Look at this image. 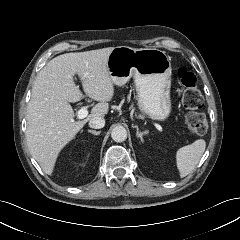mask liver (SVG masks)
Here are the masks:
<instances>
[{
	"label": "liver",
	"instance_id": "liver-1",
	"mask_svg": "<svg viewBox=\"0 0 240 240\" xmlns=\"http://www.w3.org/2000/svg\"><path fill=\"white\" fill-rule=\"evenodd\" d=\"M113 49L62 54L49 61L38 73L27 106L26 139L31 155L46 174L53 173L60 151L87 121L108 113L114 86L107 60ZM74 75L80 76L86 95L99 102L82 121L74 120L70 105V102L83 98L73 80Z\"/></svg>",
	"mask_w": 240,
	"mask_h": 240
}]
</instances>
